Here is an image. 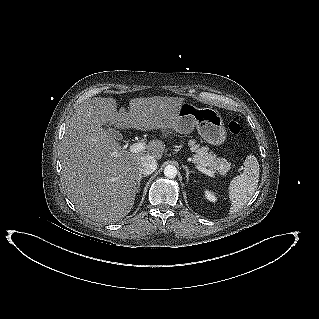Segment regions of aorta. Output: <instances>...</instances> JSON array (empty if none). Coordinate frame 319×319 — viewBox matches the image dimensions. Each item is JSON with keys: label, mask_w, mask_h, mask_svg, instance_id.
I'll list each match as a JSON object with an SVG mask.
<instances>
[{"label": "aorta", "mask_w": 319, "mask_h": 319, "mask_svg": "<svg viewBox=\"0 0 319 319\" xmlns=\"http://www.w3.org/2000/svg\"><path fill=\"white\" fill-rule=\"evenodd\" d=\"M164 175L169 179H173L177 176V168L173 165H167L164 168Z\"/></svg>", "instance_id": "obj_1"}]
</instances>
